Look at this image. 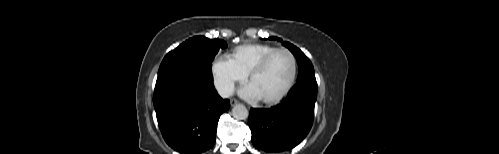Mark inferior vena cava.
I'll return each mask as SVG.
<instances>
[{"instance_id":"obj_1","label":"inferior vena cava","mask_w":499,"mask_h":154,"mask_svg":"<svg viewBox=\"0 0 499 154\" xmlns=\"http://www.w3.org/2000/svg\"><path fill=\"white\" fill-rule=\"evenodd\" d=\"M218 93L221 97L226 98L228 96H231L234 92V86L233 85H221L217 87Z\"/></svg>"}]
</instances>
